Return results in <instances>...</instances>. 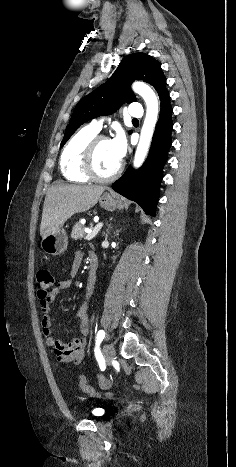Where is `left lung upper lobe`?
Returning a JSON list of instances; mask_svg holds the SVG:
<instances>
[{
	"instance_id": "5c2ea615",
	"label": "left lung upper lobe",
	"mask_w": 236,
	"mask_h": 467,
	"mask_svg": "<svg viewBox=\"0 0 236 467\" xmlns=\"http://www.w3.org/2000/svg\"><path fill=\"white\" fill-rule=\"evenodd\" d=\"M134 80H143L151 84L158 95L166 89V79L157 60L144 53L125 56L110 79L76 105L60 147L85 122L113 113L124 102L135 101L130 88Z\"/></svg>"
}]
</instances>
